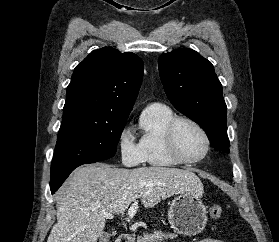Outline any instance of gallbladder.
<instances>
[{"instance_id": "obj_1", "label": "gallbladder", "mask_w": 279, "mask_h": 242, "mask_svg": "<svg viewBox=\"0 0 279 242\" xmlns=\"http://www.w3.org/2000/svg\"><path fill=\"white\" fill-rule=\"evenodd\" d=\"M110 239V233L104 232L100 235L99 240L100 242H108Z\"/></svg>"}]
</instances>
